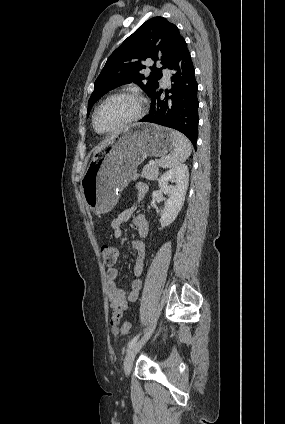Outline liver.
<instances>
[{"mask_svg":"<svg viewBox=\"0 0 285 424\" xmlns=\"http://www.w3.org/2000/svg\"><path fill=\"white\" fill-rule=\"evenodd\" d=\"M117 137V135H112L110 137H108L107 139H105L102 144L96 149L95 152L100 151L102 148H104L107 144L111 143L115 138Z\"/></svg>","mask_w":285,"mask_h":424,"instance_id":"obj_1","label":"liver"}]
</instances>
